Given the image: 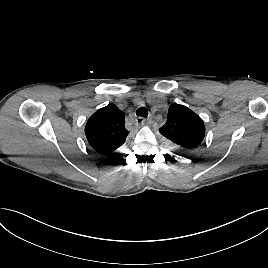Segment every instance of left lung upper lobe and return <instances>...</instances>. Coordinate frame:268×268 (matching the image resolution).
<instances>
[{"label":"left lung upper lobe","instance_id":"5c2ea615","mask_svg":"<svg viewBox=\"0 0 268 268\" xmlns=\"http://www.w3.org/2000/svg\"><path fill=\"white\" fill-rule=\"evenodd\" d=\"M159 132L178 148L195 150L202 144L205 126L203 120L188 107L173 103Z\"/></svg>","mask_w":268,"mask_h":268}]
</instances>
